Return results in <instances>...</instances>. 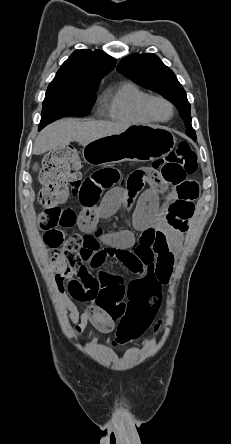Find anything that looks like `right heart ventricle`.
Returning <instances> with one entry per match:
<instances>
[{"label": "right heart ventricle", "mask_w": 231, "mask_h": 444, "mask_svg": "<svg viewBox=\"0 0 231 444\" xmlns=\"http://www.w3.org/2000/svg\"><path fill=\"white\" fill-rule=\"evenodd\" d=\"M149 94L131 81L123 82L115 91L107 94L106 116L116 122L149 124L154 122L143 111V104Z\"/></svg>", "instance_id": "obj_1"}]
</instances>
